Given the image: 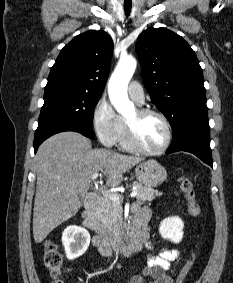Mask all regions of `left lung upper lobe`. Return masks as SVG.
<instances>
[{
    "instance_id": "1",
    "label": "left lung upper lobe",
    "mask_w": 233,
    "mask_h": 283,
    "mask_svg": "<svg viewBox=\"0 0 233 283\" xmlns=\"http://www.w3.org/2000/svg\"><path fill=\"white\" fill-rule=\"evenodd\" d=\"M136 51L144 84L173 138L193 126H209L203 72L189 44L166 28H150L139 35Z\"/></svg>"
}]
</instances>
